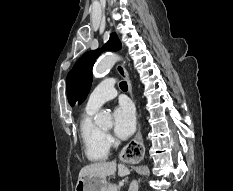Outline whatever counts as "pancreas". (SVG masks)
<instances>
[{
    "label": "pancreas",
    "mask_w": 233,
    "mask_h": 191,
    "mask_svg": "<svg viewBox=\"0 0 233 191\" xmlns=\"http://www.w3.org/2000/svg\"><path fill=\"white\" fill-rule=\"evenodd\" d=\"M119 186L115 184H109L106 191H119Z\"/></svg>",
    "instance_id": "obj_1"
}]
</instances>
